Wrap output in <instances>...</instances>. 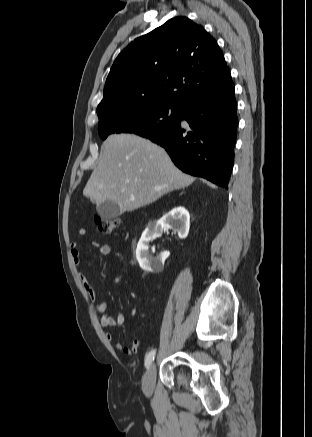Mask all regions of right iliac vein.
Returning <instances> with one entry per match:
<instances>
[{"instance_id": "right-iliac-vein-1", "label": "right iliac vein", "mask_w": 312, "mask_h": 437, "mask_svg": "<svg viewBox=\"0 0 312 437\" xmlns=\"http://www.w3.org/2000/svg\"><path fill=\"white\" fill-rule=\"evenodd\" d=\"M155 377H156V365L155 363H153L147 369L143 379L142 388L147 396H150L153 393Z\"/></svg>"}]
</instances>
